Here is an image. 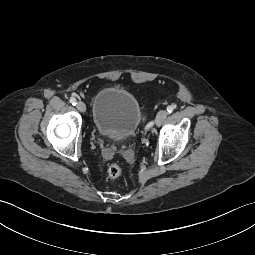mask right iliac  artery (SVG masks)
Masks as SVG:
<instances>
[{
	"mask_svg": "<svg viewBox=\"0 0 255 255\" xmlns=\"http://www.w3.org/2000/svg\"><path fill=\"white\" fill-rule=\"evenodd\" d=\"M70 103H71L72 105H76V104H77V101H76L75 98H70Z\"/></svg>",
	"mask_w": 255,
	"mask_h": 255,
	"instance_id": "82829eb1",
	"label": "right iliac artery"
}]
</instances>
